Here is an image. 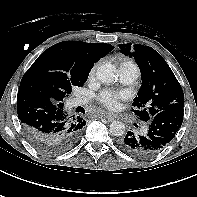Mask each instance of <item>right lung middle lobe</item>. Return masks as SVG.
Returning <instances> with one entry per match:
<instances>
[{"label": "right lung middle lobe", "instance_id": "dd1d6c3e", "mask_svg": "<svg viewBox=\"0 0 197 197\" xmlns=\"http://www.w3.org/2000/svg\"><path fill=\"white\" fill-rule=\"evenodd\" d=\"M29 86L37 90L54 103L63 104V100L67 97L74 86H82L81 84H74L66 79H61L48 74H38L29 80Z\"/></svg>", "mask_w": 197, "mask_h": 197}]
</instances>
